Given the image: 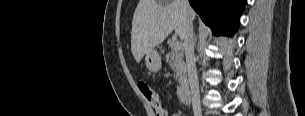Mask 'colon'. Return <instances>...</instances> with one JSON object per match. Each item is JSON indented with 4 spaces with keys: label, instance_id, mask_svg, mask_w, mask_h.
Here are the masks:
<instances>
[{
    "label": "colon",
    "instance_id": "5ec220e1",
    "mask_svg": "<svg viewBox=\"0 0 305 116\" xmlns=\"http://www.w3.org/2000/svg\"><path fill=\"white\" fill-rule=\"evenodd\" d=\"M138 89L154 116H168L158 93L145 81L138 82Z\"/></svg>",
    "mask_w": 305,
    "mask_h": 116
}]
</instances>
